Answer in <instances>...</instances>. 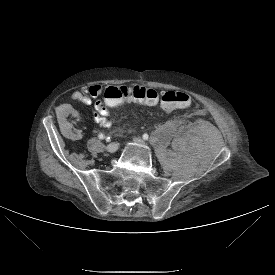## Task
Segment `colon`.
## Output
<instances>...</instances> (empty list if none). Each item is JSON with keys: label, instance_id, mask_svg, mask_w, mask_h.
I'll list each match as a JSON object with an SVG mask.
<instances>
[{"label": "colon", "instance_id": "5ec220e1", "mask_svg": "<svg viewBox=\"0 0 275 275\" xmlns=\"http://www.w3.org/2000/svg\"><path fill=\"white\" fill-rule=\"evenodd\" d=\"M130 100L135 103L154 105L160 102L164 111L184 109L190 105V96L181 91H167L159 94L154 89L139 85L110 87L105 91L103 107L107 111H114L118 104Z\"/></svg>", "mask_w": 275, "mask_h": 275}]
</instances>
